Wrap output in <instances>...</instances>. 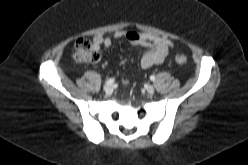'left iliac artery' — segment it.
<instances>
[{"instance_id": "obj_1", "label": "left iliac artery", "mask_w": 248, "mask_h": 165, "mask_svg": "<svg viewBox=\"0 0 248 165\" xmlns=\"http://www.w3.org/2000/svg\"><path fill=\"white\" fill-rule=\"evenodd\" d=\"M150 80L154 81L155 80V76L154 75H151L150 76Z\"/></svg>"}]
</instances>
